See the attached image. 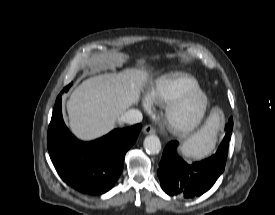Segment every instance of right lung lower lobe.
I'll list each match as a JSON object with an SVG mask.
<instances>
[{"label":"right lung lower lobe","mask_w":275,"mask_h":215,"mask_svg":"<svg viewBox=\"0 0 275 215\" xmlns=\"http://www.w3.org/2000/svg\"><path fill=\"white\" fill-rule=\"evenodd\" d=\"M61 94L56 99L47 135L50 158L59 176L79 192L100 195L110 190L123 170L125 153L141 124L115 129L100 139L82 142L63 122Z\"/></svg>","instance_id":"right-lung-lower-lobe-1"}]
</instances>
